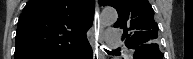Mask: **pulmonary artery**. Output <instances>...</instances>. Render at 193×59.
Here are the masks:
<instances>
[{"instance_id": "e3ab8cb5", "label": "pulmonary artery", "mask_w": 193, "mask_h": 59, "mask_svg": "<svg viewBox=\"0 0 193 59\" xmlns=\"http://www.w3.org/2000/svg\"><path fill=\"white\" fill-rule=\"evenodd\" d=\"M107 39L110 46H119L121 44V39L118 35L113 34L111 30L107 32Z\"/></svg>"}]
</instances>
